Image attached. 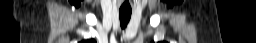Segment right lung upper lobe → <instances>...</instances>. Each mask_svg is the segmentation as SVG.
Here are the masks:
<instances>
[{
  "label": "right lung upper lobe",
  "mask_w": 256,
  "mask_h": 43,
  "mask_svg": "<svg viewBox=\"0 0 256 43\" xmlns=\"http://www.w3.org/2000/svg\"><path fill=\"white\" fill-rule=\"evenodd\" d=\"M95 41L94 40H87V41H84L83 43H94Z\"/></svg>",
  "instance_id": "cb5924a9"
}]
</instances>
